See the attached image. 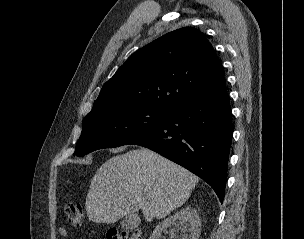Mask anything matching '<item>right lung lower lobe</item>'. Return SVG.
<instances>
[{"mask_svg": "<svg viewBox=\"0 0 304 239\" xmlns=\"http://www.w3.org/2000/svg\"><path fill=\"white\" fill-rule=\"evenodd\" d=\"M232 134L231 107L222 81L172 109L161 125L128 144L149 148L196 174L222 203Z\"/></svg>", "mask_w": 304, "mask_h": 239, "instance_id": "obj_1", "label": "right lung lower lobe"}]
</instances>
